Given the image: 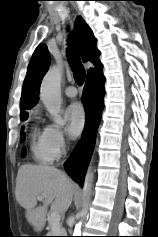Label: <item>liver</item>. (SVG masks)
Here are the masks:
<instances>
[{
	"label": "liver",
	"mask_w": 158,
	"mask_h": 237,
	"mask_svg": "<svg viewBox=\"0 0 158 237\" xmlns=\"http://www.w3.org/2000/svg\"><path fill=\"white\" fill-rule=\"evenodd\" d=\"M75 190V184L55 167L24 164L18 170L15 196L26 210L27 221L37 232L45 226L48 206H51L52 212H66ZM44 194L43 204L37 206V197Z\"/></svg>",
	"instance_id": "6515ba94"
}]
</instances>
